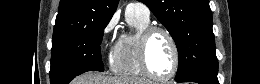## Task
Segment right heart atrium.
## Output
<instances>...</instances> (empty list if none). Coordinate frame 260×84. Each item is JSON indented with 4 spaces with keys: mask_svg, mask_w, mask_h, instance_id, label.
<instances>
[{
    "mask_svg": "<svg viewBox=\"0 0 260 84\" xmlns=\"http://www.w3.org/2000/svg\"><path fill=\"white\" fill-rule=\"evenodd\" d=\"M115 26H116V20L115 18H112L103 27L102 34H101V41H100V47L102 52H104L106 47L108 46L109 39L115 29Z\"/></svg>",
    "mask_w": 260,
    "mask_h": 84,
    "instance_id": "1",
    "label": "right heart atrium"
}]
</instances>
